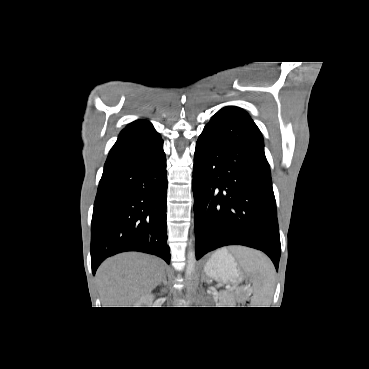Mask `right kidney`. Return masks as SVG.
Returning a JSON list of instances; mask_svg holds the SVG:
<instances>
[{
  "instance_id": "right-kidney-1",
  "label": "right kidney",
  "mask_w": 369,
  "mask_h": 369,
  "mask_svg": "<svg viewBox=\"0 0 369 369\" xmlns=\"http://www.w3.org/2000/svg\"><path fill=\"white\" fill-rule=\"evenodd\" d=\"M153 295L150 294H146L144 296H142L137 302H136V307H150V305L153 302Z\"/></svg>"
}]
</instances>
